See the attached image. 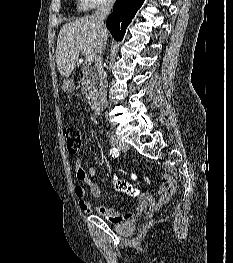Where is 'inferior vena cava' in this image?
Listing matches in <instances>:
<instances>
[{
	"label": "inferior vena cava",
	"mask_w": 233,
	"mask_h": 263,
	"mask_svg": "<svg viewBox=\"0 0 233 263\" xmlns=\"http://www.w3.org/2000/svg\"><path fill=\"white\" fill-rule=\"evenodd\" d=\"M115 0H105L95 11L93 15V20L98 30V41L95 50V61H96V71L99 79V91L98 100L101 109H103L106 101V73L103 68V58L102 54L106 46V41L108 37L107 29L104 24V20L110 14Z\"/></svg>",
	"instance_id": "1"
}]
</instances>
